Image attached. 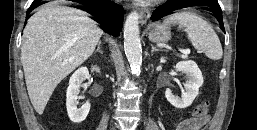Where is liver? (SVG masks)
Listing matches in <instances>:
<instances>
[{"label": "liver", "instance_id": "6515ba94", "mask_svg": "<svg viewBox=\"0 0 257 130\" xmlns=\"http://www.w3.org/2000/svg\"><path fill=\"white\" fill-rule=\"evenodd\" d=\"M101 35L85 12L54 2L28 20L21 61L28 95L38 114H43L56 86L92 55Z\"/></svg>", "mask_w": 257, "mask_h": 130}]
</instances>
